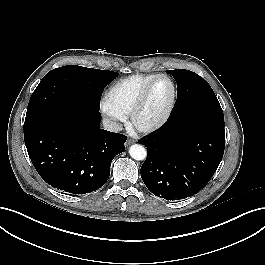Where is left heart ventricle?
Returning <instances> with one entry per match:
<instances>
[{
	"mask_svg": "<svg viewBox=\"0 0 265 265\" xmlns=\"http://www.w3.org/2000/svg\"><path fill=\"white\" fill-rule=\"evenodd\" d=\"M172 96L170 82L161 78L154 84L145 107L139 115L141 124H150L158 120L166 111Z\"/></svg>",
	"mask_w": 265,
	"mask_h": 265,
	"instance_id": "left-heart-ventricle-1",
	"label": "left heart ventricle"
}]
</instances>
